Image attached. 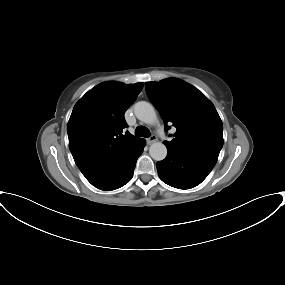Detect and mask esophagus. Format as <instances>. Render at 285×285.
<instances>
[{"label": "esophagus", "instance_id": "obj_1", "mask_svg": "<svg viewBox=\"0 0 285 285\" xmlns=\"http://www.w3.org/2000/svg\"><path fill=\"white\" fill-rule=\"evenodd\" d=\"M146 141H147V144L151 145V144H153L154 142L157 141V136L151 135L149 138H147Z\"/></svg>", "mask_w": 285, "mask_h": 285}]
</instances>
